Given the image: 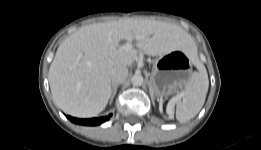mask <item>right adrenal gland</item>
Listing matches in <instances>:
<instances>
[{"instance_id": "1", "label": "right adrenal gland", "mask_w": 261, "mask_h": 150, "mask_svg": "<svg viewBox=\"0 0 261 150\" xmlns=\"http://www.w3.org/2000/svg\"><path fill=\"white\" fill-rule=\"evenodd\" d=\"M118 86H119V84H112L110 103L112 102L113 98L115 97V95L117 93Z\"/></svg>"}]
</instances>
